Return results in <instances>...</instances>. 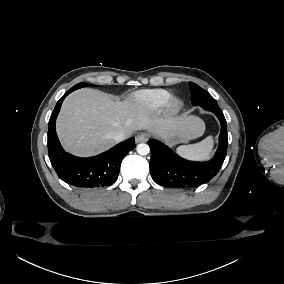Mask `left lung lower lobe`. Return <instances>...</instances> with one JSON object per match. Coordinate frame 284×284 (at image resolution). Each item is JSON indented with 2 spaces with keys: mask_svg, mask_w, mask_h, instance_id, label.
<instances>
[{
  "mask_svg": "<svg viewBox=\"0 0 284 284\" xmlns=\"http://www.w3.org/2000/svg\"><path fill=\"white\" fill-rule=\"evenodd\" d=\"M203 109L213 112L221 123L219 147L208 162H192L175 154L162 142L150 139V173L159 185L171 188L197 187L212 179L220 170L227 153V123L218 104H200Z\"/></svg>",
  "mask_w": 284,
  "mask_h": 284,
  "instance_id": "1",
  "label": "left lung lower lobe"
}]
</instances>
